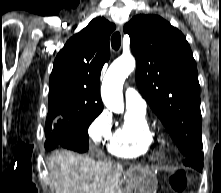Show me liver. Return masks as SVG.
I'll list each match as a JSON object with an SVG mask.
<instances>
[{
    "mask_svg": "<svg viewBox=\"0 0 221 193\" xmlns=\"http://www.w3.org/2000/svg\"><path fill=\"white\" fill-rule=\"evenodd\" d=\"M55 193H119L122 167L68 150H56L47 159Z\"/></svg>",
    "mask_w": 221,
    "mask_h": 193,
    "instance_id": "liver-1",
    "label": "liver"
}]
</instances>
